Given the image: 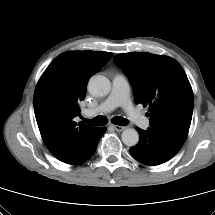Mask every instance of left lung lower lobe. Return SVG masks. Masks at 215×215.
<instances>
[{"mask_svg":"<svg viewBox=\"0 0 215 215\" xmlns=\"http://www.w3.org/2000/svg\"><path fill=\"white\" fill-rule=\"evenodd\" d=\"M137 130L140 140L137 145L130 148V153L145 165L162 164L174 157L181 148L150 128L146 131L140 128Z\"/></svg>","mask_w":215,"mask_h":215,"instance_id":"obj_1","label":"left lung lower lobe"}]
</instances>
